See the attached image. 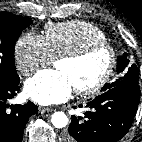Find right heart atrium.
I'll list each match as a JSON object with an SVG mask.
<instances>
[{"mask_svg":"<svg viewBox=\"0 0 142 142\" xmlns=\"http://www.w3.org/2000/svg\"><path fill=\"white\" fill-rule=\"evenodd\" d=\"M14 59L18 71L23 75H29L53 61L44 37L31 31L16 41Z\"/></svg>","mask_w":142,"mask_h":142,"instance_id":"1","label":"right heart atrium"}]
</instances>
